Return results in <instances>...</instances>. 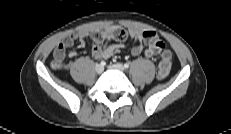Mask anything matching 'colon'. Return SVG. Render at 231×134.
<instances>
[{"label":"colon","instance_id":"colon-1","mask_svg":"<svg viewBox=\"0 0 231 134\" xmlns=\"http://www.w3.org/2000/svg\"><path fill=\"white\" fill-rule=\"evenodd\" d=\"M112 37L117 40V41H124L127 39V33L124 29L117 27L113 32H112ZM93 40L96 42H102L104 40V36L101 33H96L92 36ZM171 58L172 54L169 50H164L161 54V60L158 65V73L157 77L159 79H165L171 69ZM53 66L55 68H63L66 66L64 61H56L54 60Z\"/></svg>","mask_w":231,"mask_h":134}]
</instances>
